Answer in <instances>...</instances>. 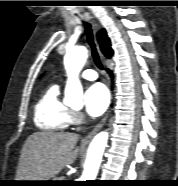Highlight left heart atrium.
<instances>
[{
  "label": "left heart atrium",
  "mask_w": 178,
  "mask_h": 186,
  "mask_svg": "<svg viewBox=\"0 0 178 186\" xmlns=\"http://www.w3.org/2000/svg\"><path fill=\"white\" fill-rule=\"evenodd\" d=\"M84 103L86 112L92 117L102 115L109 105V92L101 83L91 85L85 92Z\"/></svg>",
  "instance_id": "obj_1"
}]
</instances>
